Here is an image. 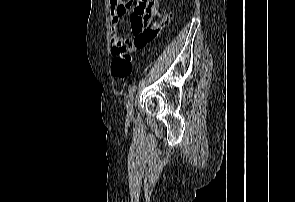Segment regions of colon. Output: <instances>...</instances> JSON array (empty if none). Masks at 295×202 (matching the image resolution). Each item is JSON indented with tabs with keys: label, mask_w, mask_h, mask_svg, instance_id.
<instances>
[{
	"label": "colon",
	"mask_w": 295,
	"mask_h": 202,
	"mask_svg": "<svg viewBox=\"0 0 295 202\" xmlns=\"http://www.w3.org/2000/svg\"><path fill=\"white\" fill-rule=\"evenodd\" d=\"M132 72V58L126 47L117 49L113 54V60L111 63L112 75L125 81Z\"/></svg>",
	"instance_id": "1"
}]
</instances>
